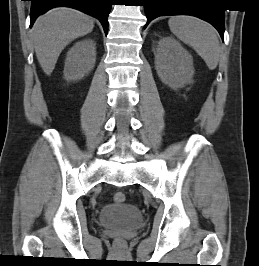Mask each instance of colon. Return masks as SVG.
<instances>
[{
    "mask_svg": "<svg viewBox=\"0 0 259 266\" xmlns=\"http://www.w3.org/2000/svg\"><path fill=\"white\" fill-rule=\"evenodd\" d=\"M125 198V194L121 191L116 192L113 196V200L117 204L123 203L125 201ZM115 245L119 250H123L125 248L124 241L121 239L116 240Z\"/></svg>",
    "mask_w": 259,
    "mask_h": 266,
    "instance_id": "colon-1",
    "label": "colon"
}]
</instances>
